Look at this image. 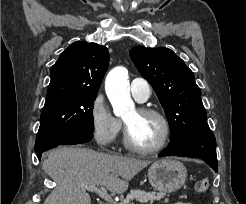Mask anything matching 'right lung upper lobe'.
Instances as JSON below:
<instances>
[{"mask_svg": "<svg viewBox=\"0 0 246 204\" xmlns=\"http://www.w3.org/2000/svg\"><path fill=\"white\" fill-rule=\"evenodd\" d=\"M108 62L105 46L85 41L73 43L51 68L46 101L67 95H97Z\"/></svg>", "mask_w": 246, "mask_h": 204, "instance_id": "cb5924a9", "label": "right lung upper lobe"}]
</instances>
